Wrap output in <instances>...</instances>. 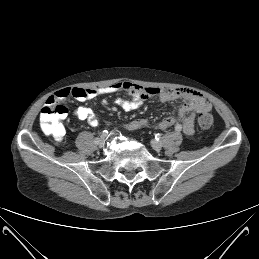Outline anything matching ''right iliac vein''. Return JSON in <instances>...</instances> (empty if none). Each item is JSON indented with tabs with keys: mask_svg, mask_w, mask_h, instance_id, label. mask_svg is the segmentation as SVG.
I'll return each instance as SVG.
<instances>
[{
	"mask_svg": "<svg viewBox=\"0 0 259 259\" xmlns=\"http://www.w3.org/2000/svg\"><path fill=\"white\" fill-rule=\"evenodd\" d=\"M98 146L103 147L105 145V138H99V141L96 143Z\"/></svg>",
	"mask_w": 259,
	"mask_h": 259,
	"instance_id": "1",
	"label": "right iliac vein"
}]
</instances>
